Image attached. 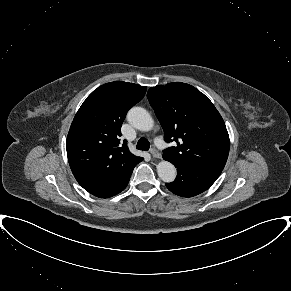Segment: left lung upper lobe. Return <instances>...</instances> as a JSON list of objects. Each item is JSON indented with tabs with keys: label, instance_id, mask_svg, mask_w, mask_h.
<instances>
[{
	"label": "left lung upper lobe",
	"instance_id": "5c2ea615",
	"mask_svg": "<svg viewBox=\"0 0 291 291\" xmlns=\"http://www.w3.org/2000/svg\"><path fill=\"white\" fill-rule=\"evenodd\" d=\"M148 100L164 130V159L223 170L229 154V135L213 103L195 87L173 82L149 89Z\"/></svg>",
	"mask_w": 291,
	"mask_h": 291
}]
</instances>
